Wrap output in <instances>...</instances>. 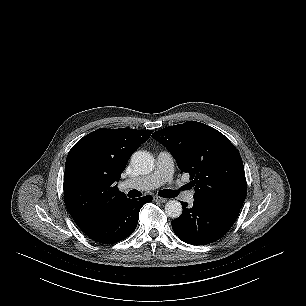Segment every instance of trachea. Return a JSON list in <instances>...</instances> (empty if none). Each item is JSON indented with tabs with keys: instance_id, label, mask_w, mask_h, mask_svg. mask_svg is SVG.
Listing matches in <instances>:
<instances>
[{
	"instance_id": "3493384b",
	"label": "trachea",
	"mask_w": 306,
	"mask_h": 306,
	"mask_svg": "<svg viewBox=\"0 0 306 306\" xmlns=\"http://www.w3.org/2000/svg\"><path fill=\"white\" fill-rule=\"evenodd\" d=\"M141 194L137 190H131L129 197H139ZM159 195L164 198H174L177 196V192L169 189H165L159 192Z\"/></svg>"
}]
</instances>
